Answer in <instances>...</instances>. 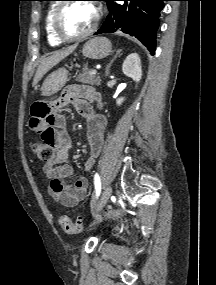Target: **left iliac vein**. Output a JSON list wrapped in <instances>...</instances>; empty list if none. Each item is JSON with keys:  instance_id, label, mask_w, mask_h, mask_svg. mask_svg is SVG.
Returning <instances> with one entry per match:
<instances>
[{"instance_id": "left-iliac-vein-1", "label": "left iliac vein", "mask_w": 216, "mask_h": 285, "mask_svg": "<svg viewBox=\"0 0 216 285\" xmlns=\"http://www.w3.org/2000/svg\"><path fill=\"white\" fill-rule=\"evenodd\" d=\"M111 194H112V187L107 186L105 188V190L103 191L101 197H100L99 203H98L97 208L95 209L94 213H98L105 206V204L108 202Z\"/></svg>"}]
</instances>
